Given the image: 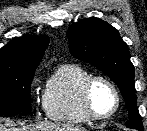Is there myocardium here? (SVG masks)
<instances>
[{
  "instance_id": "1",
  "label": "myocardium",
  "mask_w": 147,
  "mask_h": 131,
  "mask_svg": "<svg viewBox=\"0 0 147 131\" xmlns=\"http://www.w3.org/2000/svg\"><path fill=\"white\" fill-rule=\"evenodd\" d=\"M97 81H103L106 84H108L110 88L112 89L114 96H115L114 108L112 109L111 112L105 115L97 114L94 111L92 107V103H91V90H92L93 85ZM81 98H82V105H83L85 113L91 120H95V121H104V120L111 118L112 116L116 114V112L119 110L120 105H121V95H120L118 87L110 78L104 75L90 76L83 84L82 91H81Z\"/></svg>"
}]
</instances>
